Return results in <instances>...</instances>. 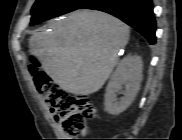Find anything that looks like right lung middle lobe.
Returning a JSON list of instances; mask_svg holds the SVG:
<instances>
[{"label": "right lung middle lobe", "instance_id": "1", "mask_svg": "<svg viewBox=\"0 0 182 140\" xmlns=\"http://www.w3.org/2000/svg\"><path fill=\"white\" fill-rule=\"evenodd\" d=\"M89 0H36L32 7L31 25L79 9Z\"/></svg>", "mask_w": 182, "mask_h": 140}]
</instances>
